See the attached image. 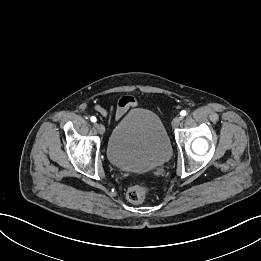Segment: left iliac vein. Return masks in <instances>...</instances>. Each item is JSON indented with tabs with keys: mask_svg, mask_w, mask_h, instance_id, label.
Returning <instances> with one entry per match:
<instances>
[{
	"mask_svg": "<svg viewBox=\"0 0 261 261\" xmlns=\"http://www.w3.org/2000/svg\"><path fill=\"white\" fill-rule=\"evenodd\" d=\"M182 121V118L181 117H175L173 120H172V126L174 128L178 127L180 125Z\"/></svg>",
	"mask_w": 261,
	"mask_h": 261,
	"instance_id": "obj_1",
	"label": "left iliac vein"
}]
</instances>
